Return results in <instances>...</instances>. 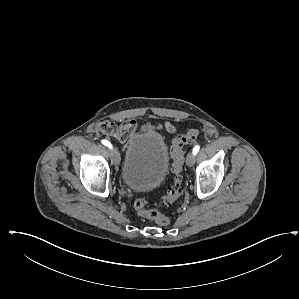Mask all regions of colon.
<instances>
[{"instance_id": "5ec220e1", "label": "colon", "mask_w": 299, "mask_h": 299, "mask_svg": "<svg viewBox=\"0 0 299 299\" xmlns=\"http://www.w3.org/2000/svg\"><path fill=\"white\" fill-rule=\"evenodd\" d=\"M100 128L105 131L108 128L107 123H103ZM200 135L199 129H191L185 134L177 135L171 145L170 154L173 160L172 169L174 172L173 185L167 193L155 202L156 208L168 207L174 203L183 192V162L185 154V146L193 144ZM134 208L142 217L153 220L161 226L169 224V218L156 208H150L149 202L144 198H138L134 202Z\"/></svg>"}]
</instances>
